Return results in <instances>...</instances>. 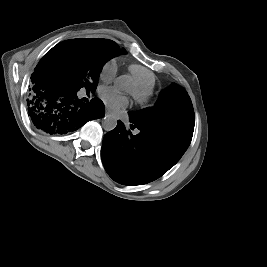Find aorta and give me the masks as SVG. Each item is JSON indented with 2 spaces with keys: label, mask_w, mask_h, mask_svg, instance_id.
I'll return each instance as SVG.
<instances>
[{
  "label": "aorta",
  "mask_w": 267,
  "mask_h": 267,
  "mask_svg": "<svg viewBox=\"0 0 267 267\" xmlns=\"http://www.w3.org/2000/svg\"><path fill=\"white\" fill-rule=\"evenodd\" d=\"M129 80L128 75L117 78L116 86L121 90L127 89V82ZM103 128L107 131L114 129L117 125V120L114 116L107 115L102 121Z\"/></svg>",
  "instance_id": "aorta-1"
}]
</instances>
